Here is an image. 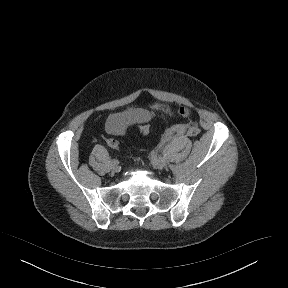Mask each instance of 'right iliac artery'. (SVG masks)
Returning a JSON list of instances; mask_svg holds the SVG:
<instances>
[{"mask_svg":"<svg viewBox=\"0 0 288 288\" xmlns=\"http://www.w3.org/2000/svg\"><path fill=\"white\" fill-rule=\"evenodd\" d=\"M112 162L118 163V160L117 159H112Z\"/></svg>","mask_w":288,"mask_h":288,"instance_id":"right-iliac-artery-1","label":"right iliac artery"}]
</instances>
